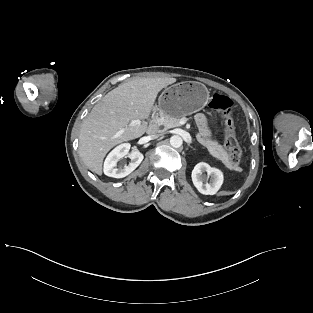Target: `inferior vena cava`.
<instances>
[{
  "label": "inferior vena cava",
  "mask_w": 313,
  "mask_h": 313,
  "mask_svg": "<svg viewBox=\"0 0 313 313\" xmlns=\"http://www.w3.org/2000/svg\"><path fill=\"white\" fill-rule=\"evenodd\" d=\"M148 133H149V136L152 139H156V138L160 137L163 134L162 131H160V130H152V129H150L148 131Z\"/></svg>",
  "instance_id": "602c4592"
}]
</instances>
